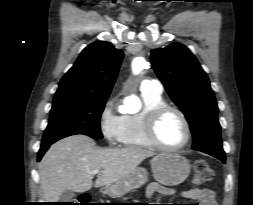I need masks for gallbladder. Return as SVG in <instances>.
Here are the masks:
<instances>
[{"label": "gallbladder", "instance_id": "gallbladder-1", "mask_svg": "<svg viewBox=\"0 0 253 205\" xmlns=\"http://www.w3.org/2000/svg\"><path fill=\"white\" fill-rule=\"evenodd\" d=\"M75 196V192L72 190H65L60 196V202H68Z\"/></svg>", "mask_w": 253, "mask_h": 205}]
</instances>
